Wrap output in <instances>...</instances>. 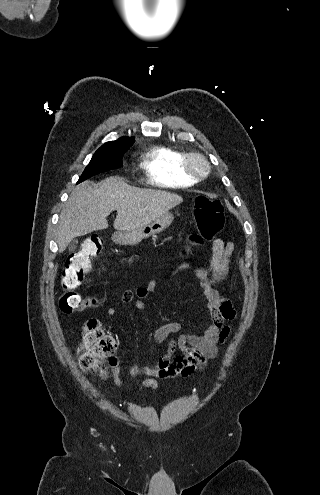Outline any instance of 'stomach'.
Wrapping results in <instances>:
<instances>
[{
	"instance_id": "1",
	"label": "stomach",
	"mask_w": 320,
	"mask_h": 495,
	"mask_svg": "<svg viewBox=\"0 0 320 495\" xmlns=\"http://www.w3.org/2000/svg\"><path fill=\"white\" fill-rule=\"evenodd\" d=\"M173 218L172 213L166 212L144 226L114 233L112 240L119 245H136L143 239L164 231L170 226Z\"/></svg>"
}]
</instances>
